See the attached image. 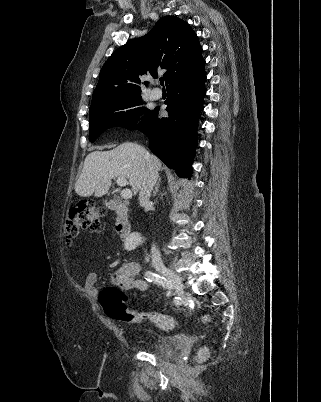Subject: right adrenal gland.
<instances>
[{"instance_id":"1","label":"right adrenal gland","mask_w":321,"mask_h":402,"mask_svg":"<svg viewBox=\"0 0 321 402\" xmlns=\"http://www.w3.org/2000/svg\"><path fill=\"white\" fill-rule=\"evenodd\" d=\"M160 178L158 179V182H157V184H156V186H155V190H154V192H153V196H156V194L158 193V191H159V186H160Z\"/></svg>"}]
</instances>
